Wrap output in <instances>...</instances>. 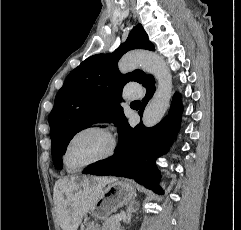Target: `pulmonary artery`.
I'll return each instance as SVG.
<instances>
[{"label": "pulmonary artery", "mask_w": 241, "mask_h": 230, "mask_svg": "<svg viewBox=\"0 0 241 230\" xmlns=\"http://www.w3.org/2000/svg\"><path fill=\"white\" fill-rule=\"evenodd\" d=\"M140 87L137 83H128L124 89V96L127 100H135L140 96Z\"/></svg>", "instance_id": "pulmonary-artery-1"}]
</instances>
